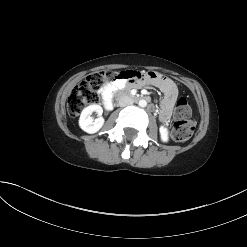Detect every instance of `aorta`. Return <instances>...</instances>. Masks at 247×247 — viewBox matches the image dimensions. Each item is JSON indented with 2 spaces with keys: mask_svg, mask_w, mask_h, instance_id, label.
Returning <instances> with one entry per match:
<instances>
[{
  "mask_svg": "<svg viewBox=\"0 0 247 247\" xmlns=\"http://www.w3.org/2000/svg\"><path fill=\"white\" fill-rule=\"evenodd\" d=\"M138 105H139L140 107H146V106H147V101L144 100V99H141V100L139 101Z\"/></svg>",
  "mask_w": 247,
  "mask_h": 247,
  "instance_id": "obj_1",
  "label": "aorta"
}]
</instances>
